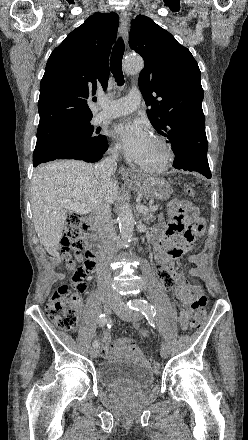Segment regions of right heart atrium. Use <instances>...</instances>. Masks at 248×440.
Masks as SVG:
<instances>
[{
	"instance_id": "obj_1",
	"label": "right heart atrium",
	"mask_w": 248,
	"mask_h": 440,
	"mask_svg": "<svg viewBox=\"0 0 248 440\" xmlns=\"http://www.w3.org/2000/svg\"><path fill=\"white\" fill-rule=\"evenodd\" d=\"M109 155L113 158H116L119 155V149L117 146L113 145L108 150Z\"/></svg>"
}]
</instances>
